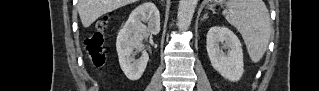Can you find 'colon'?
Masks as SVG:
<instances>
[{
  "mask_svg": "<svg viewBox=\"0 0 319 91\" xmlns=\"http://www.w3.org/2000/svg\"><path fill=\"white\" fill-rule=\"evenodd\" d=\"M107 26V19L99 20L94 27L90 36L86 39L85 49L96 66H100L105 61V54L103 51L104 30Z\"/></svg>",
  "mask_w": 319,
  "mask_h": 91,
  "instance_id": "obj_1",
  "label": "colon"
}]
</instances>
